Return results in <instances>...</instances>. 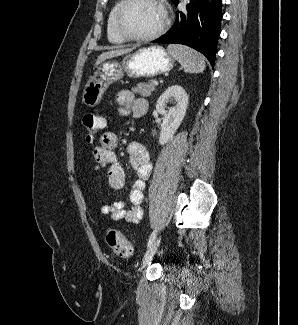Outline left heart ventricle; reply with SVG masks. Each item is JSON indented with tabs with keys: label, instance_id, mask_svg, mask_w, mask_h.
Masks as SVG:
<instances>
[{
	"label": "left heart ventricle",
	"instance_id": "b2bd125f",
	"mask_svg": "<svg viewBox=\"0 0 298 325\" xmlns=\"http://www.w3.org/2000/svg\"><path fill=\"white\" fill-rule=\"evenodd\" d=\"M161 21V13L154 4L139 1L127 8L121 19V26L130 35L143 37L155 31Z\"/></svg>",
	"mask_w": 298,
	"mask_h": 325
}]
</instances>
